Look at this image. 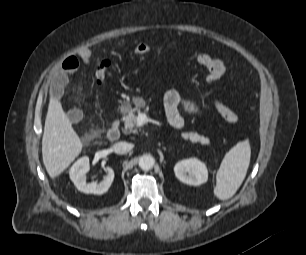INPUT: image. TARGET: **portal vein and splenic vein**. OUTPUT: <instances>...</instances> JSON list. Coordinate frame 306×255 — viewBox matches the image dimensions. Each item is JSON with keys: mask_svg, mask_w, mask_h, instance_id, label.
I'll list each match as a JSON object with an SVG mask.
<instances>
[{"mask_svg": "<svg viewBox=\"0 0 306 255\" xmlns=\"http://www.w3.org/2000/svg\"><path fill=\"white\" fill-rule=\"evenodd\" d=\"M137 126H142L146 123L147 117L145 114L140 113L137 117ZM204 139V138H203Z\"/></svg>", "mask_w": 306, "mask_h": 255, "instance_id": "1", "label": "portal vein and splenic vein"}]
</instances>
